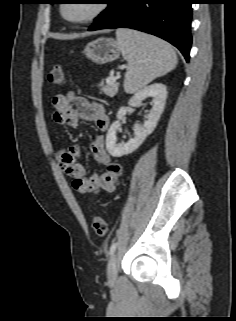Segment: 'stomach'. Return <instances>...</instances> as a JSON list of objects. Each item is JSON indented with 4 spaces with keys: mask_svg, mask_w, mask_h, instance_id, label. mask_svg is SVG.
<instances>
[{
    "mask_svg": "<svg viewBox=\"0 0 236 321\" xmlns=\"http://www.w3.org/2000/svg\"><path fill=\"white\" fill-rule=\"evenodd\" d=\"M83 52L87 58L97 64L112 62L121 54L117 41L104 37L89 42Z\"/></svg>",
    "mask_w": 236,
    "mask_h": 321,
    "instance_id": "obj_1",
    "label": "stomach"
}]
</instances>
